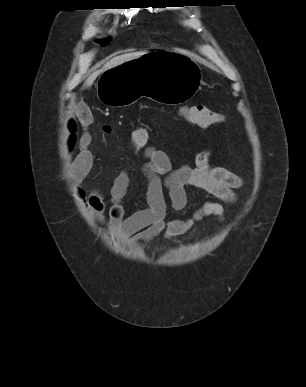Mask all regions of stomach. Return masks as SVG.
<instances>
[{
  "label": "stomach",
  "mask_w": 306,
  "mask_h": 387,
  "mask_svg": "<svg viewBox=\"0 0 306 387\" xmlns=\"http://www.w3.org/2000/svg\"><path fill=\"white\" fill-rule=\"evenodd\" d=\"M150 53L138 55L109 70H102L98 81L99 99L110 107L156 99L157 104H188L191 92L201 84V68L187 55L150 46Z\"/></svg>",
  "instance_id": "obj_1"
}]
</instances>
